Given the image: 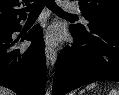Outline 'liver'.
Listing matches in <instances>:
<instances>
[{
  "mask_svg": "<svg viewBox=\"0 0 119 95\" xmlns=\"http://www.w3.org/2000/svg\"><path fill=\"white\" fill-rule=\"evenodd\" d=\"M0 95H14V93L9 89L0 86Z\"/></svg>",
  "mask_w": 119,
  "mask_h": 95,
  "instance_id": "obj_1",
  "label": "liver"
}]
</instances>
